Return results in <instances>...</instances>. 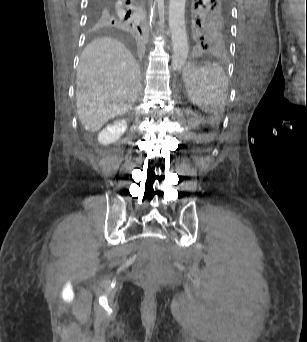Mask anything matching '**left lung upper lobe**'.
Returning <instances> with one entry per match:
<instances>
[{"mask_svg": "<svg viewBox=\"0 0 307 342\" xmlns=\"http://www.w3.org/2000/svg\"><path fill=\"white\" fill-rule=\"evenodd\" d=\"M193 17L194 41L197 49L205 52L224 53L230 34L228 0H203Z\"/></svg>", "mask_w": 307, "mask_h": 342, "instance_id": "left-lung-upper-lobe-1", "label": "left lung upper lobe"}]
</instances>
